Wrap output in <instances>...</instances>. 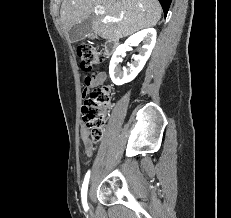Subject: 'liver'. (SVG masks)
Masks as SVG:
<instances>
[{"mask_svg":"<svg viewBox=\"0 0 231 218\" xmlns=\"http://www.w3.org/2000/svg\"><path fill=\"white\" fill-rule=\"evenodd\" d=\"M104 13L94 15L95 6ZM158 0H63L60 10L65 31L92 15V30L104 39L118 40L145 28L153 27L161 18ZM107 17L122 19L110 22Z\"/></svg>","mask_w":231,"mask_h":218,"instance_id":"6515ba94","label":"liver"}]
</instances>
